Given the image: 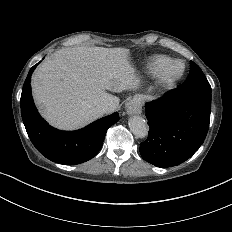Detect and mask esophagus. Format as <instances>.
Segmentation results:
<instances>
[{
    "label": "esophagus",
    "mask_w": 232,
    "mask_h": 232,
    "mask_svg": "<svg viewBox=\"0 0 232 232\" xmlns=\"http://www.w3.org/2000/svg\"><path fill=\"white\" fill-rule=\"evenodd\" d=\"M127 115H138L142 112L141 98L139 96L133 97L125 105Z\"/></svg>",
    "instance_id": "obj_1"
}]
</instances>
